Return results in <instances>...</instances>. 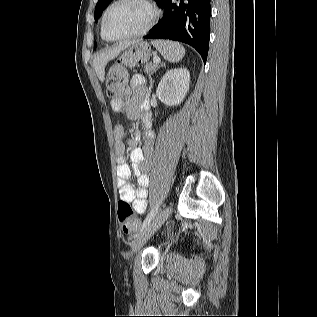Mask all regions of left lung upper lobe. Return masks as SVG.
Returning <instances> with one entry per match:
<instances>
[{
  "label": "left lung upper lobe",
  "instance_id": "obj_1",
  "mask_svg": "<svg viewBox=\"0 0 317 317\" xmlns=\"http://www.w3.org/2000/svg\"><path fill=\"white\" fill-rule=\"evenodd\" d=\"M112 0H98L95 7L94 18L97 22L98 18L101 16L103 10L110 4ZM158 6H161L165 0H155ZM96 46V45H95Z\"/></svg>",
  "mask_w": 317,
  "mask_h": 317
}]
</instances>
